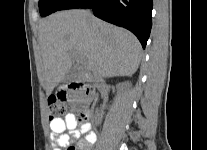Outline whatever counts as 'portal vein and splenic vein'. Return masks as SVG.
<instances>
[{
    "instance_id": "obj_1",
    "label": "portal vein and splenic vein",
    "mask_w": 207,
    "mask_h": 150,
    "mask_svg": "<svg viewBox=\"0 0 207 150\" xmlns=\"http://www.w3.org/2000/svg\"><path fill=\"white\" fill-rule=\"evenodd\" d=\"M78 61L82 62V59H78Z\"/></svg>"
}]
</instances>
